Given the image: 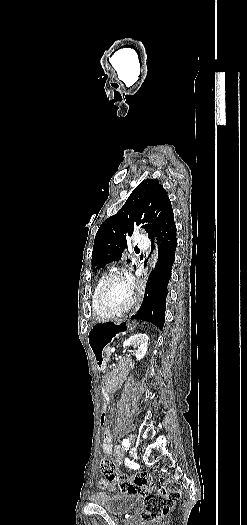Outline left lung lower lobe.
I'll return each instance as SVG.
<instances>
[{
    "label": "left lung lower lobe",
    "instance_id": "0a47b994",
    "mask_svg": "<svg viewBox=\"0 0 247 525\" xmlns=\"http://www.w3.org/2000/svg\"><path fill=\"white\" fill-rule=\"evenodd\" d=\"M155 236L159 248L158 262L147 281L143 303L131 318L151 322L162 329L165 321L167 285L171 278L177 247L174 214L167 217L149 237L152 242Z\"/></svg>",
    "mask_w": 247,
    "mask_h": 525
}]
</instances>
